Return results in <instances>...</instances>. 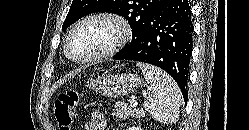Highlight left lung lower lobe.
Segmentation results:
<instances>
[{"mask_svg":"<svg viewBox=\"0 0 249 130\" xmlns=\"http://www.w3.org/2000/svg\"><path fill=\"white\" fill-rule=\"evenodd\" d=\"M192 47L193 25L188 0H166L114 59L145 62L162 68L177 82L187 102Z\"/></svg>","mask_w":249,"mask_h":130,"instance_id":"1","label":"left lung lower lobe"}]
</instances>
